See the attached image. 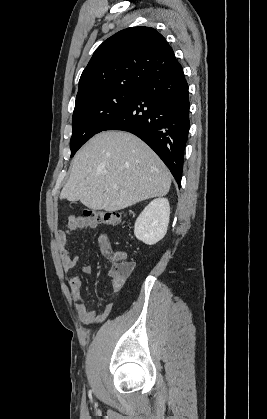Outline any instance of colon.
I'll use <instances>...</instances> for the list:
<instances>
[{
	"label": "colon",
	"mask_w": 267,
	"mask_h": 419,
	"mask_svg": "<svg viewBox=\"0 0 267 419\" xmlns=\"http://www.w3.org/2000/svg\"><path fill=\"white\" fill-rule=\"evenodd\" d=\"M86 217L94 220L98 224L108 226H116L123 222L124 215L119 212L98 210L86 211ZM113 266L110 272L116 276H127L132 270V263L127 260L126 254L123 252H116L112 256Z\"/></svg>",
	"instance_id": "1"
}]
</instances>
